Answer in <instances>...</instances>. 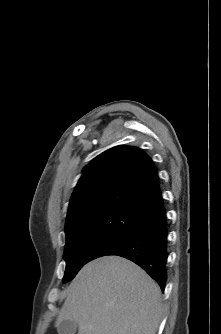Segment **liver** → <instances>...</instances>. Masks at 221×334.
<instances>
[{"label":"liver","mask_w":221,"mask_h":334,"mask_svg":"<svg viewBox=\"0 0 221 334\" xmlns=\"http://www.w3.org/2000/svg\"><path fill=\"white\" fill-rule=\"evenodd\" d=\"M161 315L157 283L132 261L104 256L76 275L55 326L71 320L78 334H156Z\"/></svg>","instance_id":"obj_1"}]
</instances>
